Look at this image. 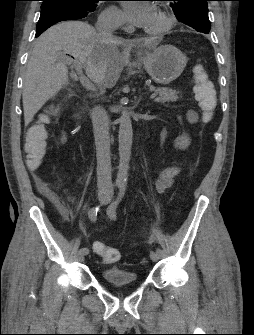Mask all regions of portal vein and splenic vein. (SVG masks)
Masks as SVG:
<instances>
[{"label": "portal vein and splenic vein", "instance_id": "1", "mask_svg": "<svg viewBox=\"0 0 254 335\" xmlns=\"http://www.w3.org/2000/svg\"><path fill=\"white\" fill-rule=\"evenodd\" d=\"M67 63L72 64L74 66V68H75V70H76V72H77V74L79 76L80 83L82 84V86L84 88H86L87 90L95 91L94 84L83 74V65H82V63L78 59H76L74 61H72V60L69 59ZM156 96H157V93H152L150 95V99L152 100Z\"/></svg>", "mask_w": 254, "mask_h": 335}]
</instances>
